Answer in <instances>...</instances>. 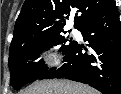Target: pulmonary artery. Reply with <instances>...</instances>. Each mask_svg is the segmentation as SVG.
<instances>
[{
	"label": "pulmonary artery",
	"instance_id": "e3ab8cb5",
	"mask_svg": "<svg viewBox=\"0 0 121 94\" xmlns=\"http://www.w3.org/2000/svg\"><path fill=\"white\" fill-rule=\"evenodd\" d=\"M72 33L73 34H78V30H76L75 28H72Z\"/></svg>",
	"mask_w": 121,
	"mask_h": 94
}]
</instances>
